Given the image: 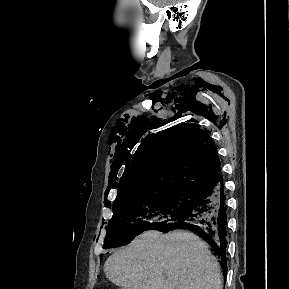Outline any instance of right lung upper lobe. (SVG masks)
Here are the masks:
<instances>
[{"label":"right lung upper lobe","instance_id":"right-lung-upper-lobe-1","mask_svg":"<svg viewBox=\"0 0 289 289\" xmlns=\"http://www.w3.org/2000/svg\"><path fill=\"white\" fill-rule=\"evenodd\" d=\"M209 134L198 124L180 123L146 138L119 182L114 204L158 192H194L217 180L221 163Z\"/></svg>","mask_w":289,"mask_h":289}]
</instances>
